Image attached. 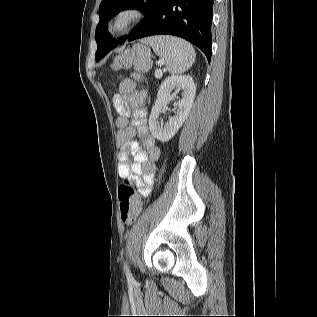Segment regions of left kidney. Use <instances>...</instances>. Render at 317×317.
<instances>
[{
  "instance_id": "5707ae66",
  "label": "left kidney",
  "mask_w": 317,
  "mask_h": 317,
  "mask_svg": "<svg viewBox=\"0 0 317 317\" xmlns=\"http://www.w3.org/2000/svg\"><path fill=\"white\" fill-rule=\"evenodd\" d=\"M174 90V93L172 91ZM182 90V98L174 102L175 115L167 123L160 124L157 120L164 110L163 106L168 99ZM196 94V85L190 75H173L166 78L161 84L157 99L149 116V129L152 135L161 142L169 141L183 125L192 107Z\"/></svg>"
}]
</instances>
